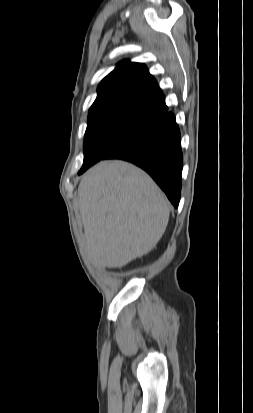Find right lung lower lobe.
Instances as JSON below:
<instances>
[{
  "label": "right lung lower lobe",
  "instance_id": "right-lung-lower-lobe-1",
  "mask_svg": "<svg viewBox=\"0 0 253 413\" xmlns=\"http://www.w3.org/2000/svg\"><path fill=\"white\" fill-rule=\"evenodd\" d=\"M103 159H122L141 167L161 187L173 206L178 207L183 155L180 131L172 112L166 114L153 128L120 146Z\"/></svg>",
  "mask_w": 253,
  "mask_h": 413
}]
</instances>
